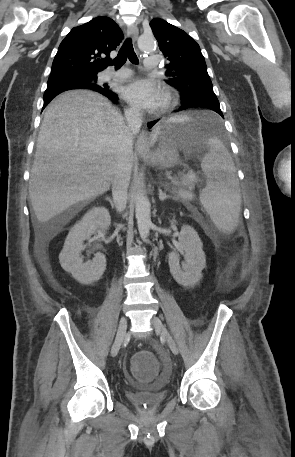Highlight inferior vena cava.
I'll return each instance as SVG.
<instances>
[{
	"instance_id": "602c4592",
	"label": "inferior vena cava",
	"mask_w": 295,
	"mask_h": 457,
	"mask_svg": "<svg viewBox=\"0 0 295 457\" xmlns=\"http://www.w3.org/2000/svg\"><path fill=\"white\" fill-rule=\"evenodd\" d=\"M125 118L132 133L138 132L142 124L140 110L134 108L125 111ZM130 173L128 165L122 159L119 160L112 180V196L118 212L126 207Z\"/></svg>"
}]
</instances>
